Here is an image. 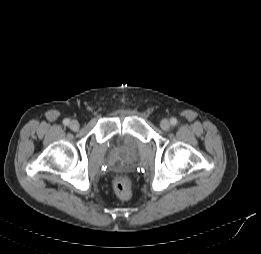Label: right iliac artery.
<instances>
[{"label": "right iliac artery", "mask_w": 261, "mask_h": 254, "mask_svg": "<svg viewBox=\"0 0 261 254\" xmlns=\"http://www.w3.org/2000/svg\"><path fill=\"white\" fill-rule=\"evenodd\" d=\"M63 124H64L65 126H68V125L70 124V120H69V119H64V120H63Z\"/></svg>", "instance_id": "right-iliac-artery-1"}]
</instances>
